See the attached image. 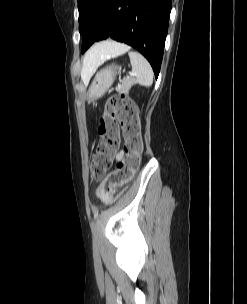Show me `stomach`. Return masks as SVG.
Returning a JSON list of instances; mask_svg holds the SVG:
<instances>
[{"label":"stomach","instance_id":"obj_1","mask_svg":"<svg viewBox=\"0 0 247 304\" xmlns=\"http://www.w3.org/2000/svg\"><path fill=\"white\" fill-rule=\"evenodd\" d=\"M119 66L111 64L98 71L86 94V100L90 103L100 98L111 87Z\"/></svg>","mask_w":247,"mask_h":304}]
</instances>
